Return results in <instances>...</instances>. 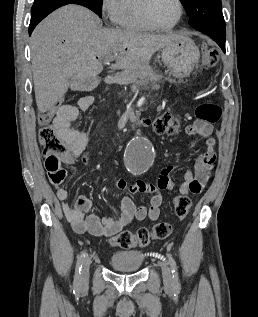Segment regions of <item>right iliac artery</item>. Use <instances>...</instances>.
Masks as SVG:
<instances>
[{
    "instance_id": "1",
    "label": "right iliac artery",
    "mask_w": 258,
    "mask_h": 317,
    "mask_svg": "<svg viewBox=\"0 0 258 317\" xmlns=\"http://www.w3.org/2000/svg\"><path fill=\"white\" fill-rule=\"evenodd\" d=\"M82 267H83V259L81 257L76 265V271H75V276H74V281H73V292L74 293H80Z\"/></svg>"
}]
</instances>
